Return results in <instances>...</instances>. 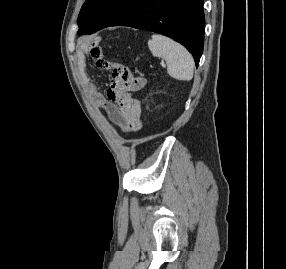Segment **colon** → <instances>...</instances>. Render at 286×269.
Returning a JSON list of instances; mask_svg holds the SVG:
<instances>
[{
	"label": "colon",
	"instance_id": "1",
	"mask_svg": "<svg viewBox=\"0 0 286 269\" xmlns=\"http://www.w3.org/2000/svg\"><path fill=\"white\" fill-rule=\"evenodd\" d=\"M111 83L120 95H124L123 110H144L143 100H139L138 91H143V83L147 78H135L132 72L125 66L114 63Z\"/></svg>",
	"mask_w": 286,
	"mask_h": 269
}]
</instances>
